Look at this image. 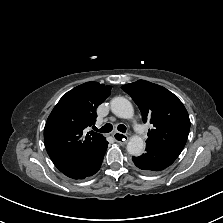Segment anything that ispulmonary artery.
<instances>
[{
    "instance_id": "1",
    "label": "pulmonary artery",
    "mask_w": 223,
    "mask_h": 223,
    "mask_svg": "<svg viewBox=\"0 0 223 223\" xmlns=\"http://www.w3.org/2000/svg\"><path fill=\"white\" fill-rule=\"evenodd\" d=\"M134 129H135V131L138 133V134H143V129H142V127L140 126V125H138V124H135L134 125Z\"/></svg>"
}]
</instances>
